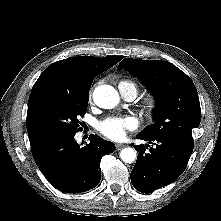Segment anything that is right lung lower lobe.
<instances>
[{
  "label": "right lung lower lobe",
  "mask_w": 221,
  "mask_h": 221,
  "mask_svg": "<svg viewBox=\"0 0 221 221\" xmlns=\"http://www.w3.org/2000/svg\"><path fill=\"white\" fill-rule=\"evenodd\" d=\"M74 136L54 137L31 145L40 171L55 188L67 193L96 187L101 179V158L115 151L112 142L98 135H90V143L84 147L77 144Z\"/></svg>",
  "instance_id": "obj_1"
}]
</instances>
